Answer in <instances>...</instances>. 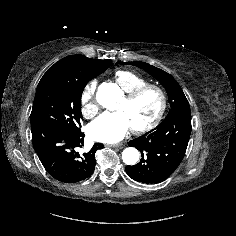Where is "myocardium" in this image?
Instances as JSON below:
<instances>
[{
  "label": "myocardium",
  "instance_id": "1",
  "mask_svg": "<svg viewBox=\"0 0 236 236\" xmlns=\"http://www.w3.org/2000/svg\"><path fill=\"white\" fill-rule=\"evenodd\" d=\"M148 91H155L158 94L160 98V105L155 117L150 122L142 126L132 127V130L136 133H145L157 127L161 122L167 108L166 92L162 87L156 84H146L133 89L125 94L124 99L126 102H132Z\"/></svg>",
  "mask_w": 236,
  "mask_h": 236
}]
</instances>
